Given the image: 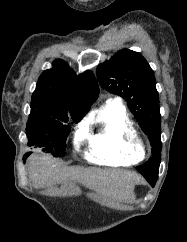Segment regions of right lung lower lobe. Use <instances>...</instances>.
<instances>
[{
  "label": "right lung lower lobe",
  "mask_w": 187,
  "mask_h": 242,
  "mask_svg": "<svg viewBox=\"0 0 187 242\" xmlns=\"http://www.w3.org/2000/svg\"><path fill=\"white\" fill-rule=\"evenodd\" d=\"M30 154H31V152L26 153V154L24 155V157H23V161H24V162L26 161V158H27Z\"/></svg>",
  "instance_id": "obj_1"
}]
</instances>
